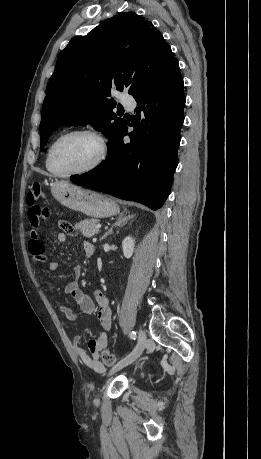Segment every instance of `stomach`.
Returning <instances> with one entry per match:
<instances>
[{
    "instance_id": "obj_1",
    "label": "stomach",
    "mask_w": 261,
    "mask_h": 459,
    "mask_svg": "<svg viewBox=\"0 0 261 459\" xmlns=\"http://www.w3.org/2000/svg\"><path fill=\"white\" fill-rule=\"evenodd\" d=\"M51 193L63 206L90 217L106 218L119 213L118 204L111 198L68 182L52 183Z\"/></svg>"
}]
</instances>
